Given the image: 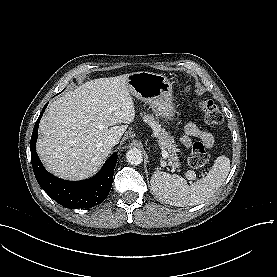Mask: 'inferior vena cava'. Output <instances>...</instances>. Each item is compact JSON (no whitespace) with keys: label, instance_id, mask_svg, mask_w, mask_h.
<instances>
[{"label":"inferior vena cava","instance_id":"602c4592","mask_svg":"<svg viewBox=\"0 0 277 277\" xmlns=\"http://www.w3.org/2000/svg\"><path fill=\"white\" fill-rule=\"evenodd\" d=\"M119 142V138L116 136H108L105 140V144L109 147L115 146Z\"/></svg>","mask_w":277,"mask_h":277}]
</instances>
